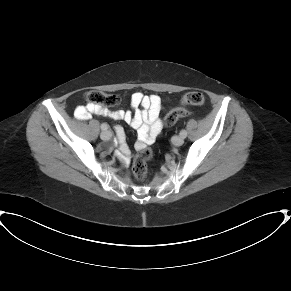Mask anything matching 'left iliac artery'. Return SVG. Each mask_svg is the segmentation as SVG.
Segmentation results:
<instances>
[{
	"label": "left iliac artery",
	"mask_w": 291,
	"mask_h": 291,
	"mask_svg": "<svg viewBox=\"0 0 291 291\" xmlns=\"http://www.w3.org/2000/svg\"><path fill=\"white\" fill-rule=\"evenodd\" d=\"M180 136H182L183 138H185V137L187 136V132H186V130H182V131L180 132Z\"/></svg>",
	"instance_id": "44dca946"
}]
</instances>
